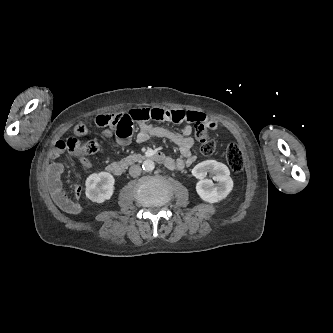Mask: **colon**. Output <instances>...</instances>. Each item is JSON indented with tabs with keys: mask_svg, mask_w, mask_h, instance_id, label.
<instances>
[{
	"mask_svg": "<svg viewBox=\"0 0 333 333\" xmlns=\"http://www.w3.org/2000/svg\"><path fill=\"white\" fill-rule=\"evenodd\" d=\"M95 123L99 127H110L116 135H127L130 132L128 117L124 113L119 114H100L95 118ZM74 136L65 140L57 141L53 148V155L58 156L67 151L77 157H84L97 152L100 143L97 140H91L82 143L78 137L87 134V127L79 123L73 128ZM195 136L200 142V151L204 155H211L215 152V142L210 138L208 129L203 124H195ZM225 158L230 169L238 173L243 168L242 152L236 144H229L226 148Z\"/></svg>",
	"mask_w": 333,
	"mask_h": 333,
	"instance_id": "colon-1",
	"label": "colon"
}]
</instances>
